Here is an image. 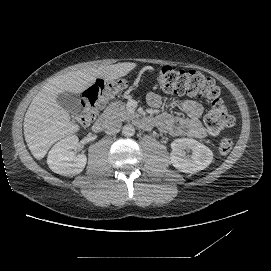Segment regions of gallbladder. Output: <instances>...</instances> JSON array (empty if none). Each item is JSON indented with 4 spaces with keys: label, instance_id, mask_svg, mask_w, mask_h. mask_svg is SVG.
I'll return each instance as SVG.
<instances>
[{
    "label": "gallbladder",
    "instance_id": "gallbladder-1",
    "mask_svg": "<svg viewBox=\"0 0 271 271\" xmlns=\"http://www.w3.org/2000/svg\"><path fill=\"white\" fill-rule=\"evenodd\" d=\"M59 106L69 114H75L80 111V97L73 92H63L56 97Z\"/></svg>",
    "mask_w": 271,
    "mask_h": 271
}]
</instances>
